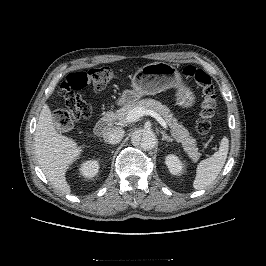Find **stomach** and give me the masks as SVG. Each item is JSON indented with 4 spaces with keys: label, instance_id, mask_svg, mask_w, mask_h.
Masks as SVG:
<instances>
[{
    "label": "stomach",
    "instance_id": "1",
    "mask_svg": "<svg viewBox=\"0 0 266 266\" xmlns=\"http://www.w3.org/2000/svg\"><path fill=\"white\" fill-rule=\"evenodd\" d=\"M132 90H124L119 104H130L144 95H155L170 88L176 89V105L189 108L195 103V94L182 81L176 67L165 62H155L139 68L131 79Z\"/></svg>",
    "mask_w": 266,
    "mask_h": 266
}]
</instances>
